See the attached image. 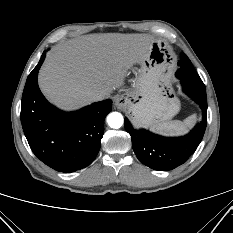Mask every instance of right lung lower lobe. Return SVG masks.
Instances as JSON below:
<instances>
[{"mask_svg":"<svg viewBox=\"0 0 233 233\" xmlns=\"http://www.w3.org/2000/svg\"><path fill=\"white\" fill-rule=\"evenodd\" d=\"M46 52L29 74L22 95L21 123L33 153L56 171L85 168L96 158L104 133V120L112 109L110 99L65 113L49 104L41 93L37 75Z\"/></svg>","mask_w":233,"mask_h":233,"instance_id":"obj_1","label":"right lung lower lobe"}]
</instances>
